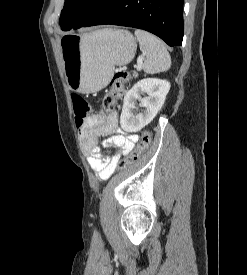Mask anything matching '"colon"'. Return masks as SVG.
I'll return each instance as SVG.
<instances>
[{"mask_svg": "<svg viewBox=\"0 0 247 275\" xmlns=\"http://www.w3.org/2000/svg\"><path fill=\"white\" fill-rule=\"evenodd\" d=\"M129 78L130 74L125 69H118L113 75L110 82L109 92L104 99V106L108 111L112 110L115 107L117 101L123 96L125 84ZM72 102L76 124L78 127H81L91 113V106L85 98L78 94L72 95ZM150 142V134L148 132H143L136 148L118 162L117 168L119 170H123L128 166L136 163L141 155L147 150Z\"/></svg>", "mask_w": 247, "mask_h": 275, "instance_id": "1", "label": "colon"}]
</instances>
